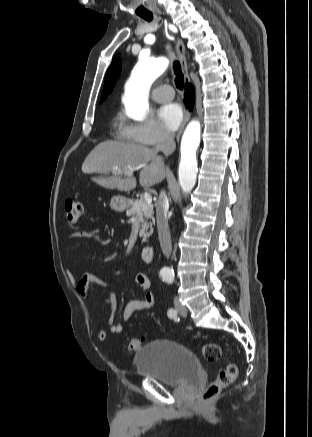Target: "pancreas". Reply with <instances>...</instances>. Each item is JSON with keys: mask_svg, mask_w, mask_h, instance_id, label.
I'll use <instances>...</instances> for the list:
<instances>
[{"mask_svg": "<svg viewBox=\"0 0 312 437\" xmlns=\"http://www.w3.org/2000/svg\"><path fill=\"white\" fill-rule=\"evenodd\" d=\"M153 214V206L148 204L143 197L139 200H135L126 211L128 217L136 216L141 223L139 236L143 238V242L153 233V225L155 223Z\"/></svg>", "mask_w": 312, "mask_h": 437, "instance_id": "1", "label": "pancreas"}]
</instances>
